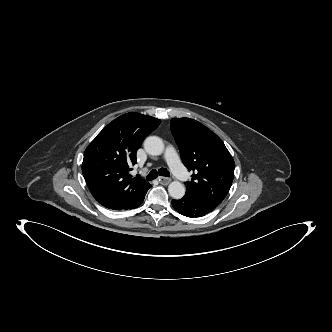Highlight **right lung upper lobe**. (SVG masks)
Wrapping results in <instances>:
<instances>
[{
    "mask_svg": "<svg viewBox=\"0 0 332 332\" xmlns=\"http://www.w3.org/2000/svg\"><path fill=\"white\" fill-rule=\"evenodd\" d=\"M160 120L139 113H126L96 136L86 148L83 176L93 197L104 207L122 210L136 201L149 187L129 174L136 164V151Z\"/></svg>",
    "mask_w": 332,
    "mask_h": 332,
    "instance_id": "obj_1",
    "label": "right lung upper lobe"
}]
</instances>
